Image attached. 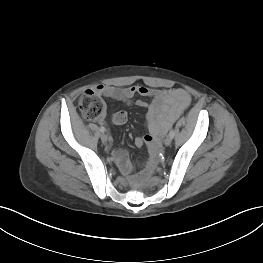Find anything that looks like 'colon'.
Instances as JSON below:
<instances>
[{
  "instance_id": "colon-1",
  "label": "colon",
  "mask_w": 263,
  "mask_h": 263,
  "mask_svg": "<svg viewBox=\"0 0 263 263\" xmlns=\"http://www.w3.org/2000/svg\"><path fill=\"white\" fill-rule=\"evenodd\" d=\"M79 108L86 119L98 120L105 112V103L94 90H87L79 99Z\"/></svg>"
}]
</instances>
